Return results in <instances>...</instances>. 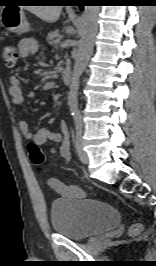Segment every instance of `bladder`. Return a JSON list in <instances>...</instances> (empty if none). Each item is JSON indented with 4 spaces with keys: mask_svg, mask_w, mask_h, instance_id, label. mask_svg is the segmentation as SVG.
I'll list each match as a JSON object with an SVG mask.
<instances>
[{
    "mask_svg": "<svg viewBox=\"0 0 156 266\" xmlns=\"http://www.w3.org/2000/svg\"><path fill=\"white\" fill-rule=\"evenodd\" d=\"M50 215L54 232L75 240L102 234L120 222L113 206L88 198L55 200Z\"/></svg>",
    "mask_w": 156,
    "mask_h": 266,
    "instance_id": "31cf9c89",
    "label": "bladder"
}]
</instances>
